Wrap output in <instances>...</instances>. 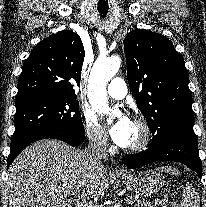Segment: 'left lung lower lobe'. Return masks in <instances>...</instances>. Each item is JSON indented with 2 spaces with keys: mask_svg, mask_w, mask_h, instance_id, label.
I'll list each match as a JSON object with an SVG mask.
<instances>
[{
  "mask_svg": "<svg viewBox=\"0 0 206 207\" xmlns=\"http://www.w3.org/2000/svg\"><path fill=\"white\" fill-rule=\"evenodd\" d=\"M123 163L129 169L138 168L156 161H176L185 164L202 177V164L198 153L197 137L191 132L175 134L155 148L127 155Z\"/></svg>",
  "mask_w": 206,
  "mask_h": 207,
  "instance_id": "0a47b994",
  "label": "left lung lower lobe"
}]
</instances>
